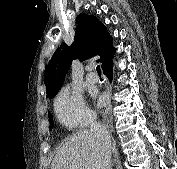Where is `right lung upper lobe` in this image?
<instances>
[{
	"mask_svg": "<svg viewBox=\"0 0 177 169\" xmlns=\"http://www.w3.org/2000/svg\"><path fill=\"white\" fill-rule=\"evenodd\" d=\"M77 19L79 26L73 44L70 47L65 43L61 44L46 68L44 83L47 97L57 94L73 59L84 61L99 55L101 58L98 62L102 63V69L112 63L115 48L112 45L113 38L106 27L94 15L81 13Z\"/></svg>",
	"mask_w": 177,
	"mask_h": 169,
	"instance_id": "1",
	"label": "right lung upper lobe"
}]
</instances>
